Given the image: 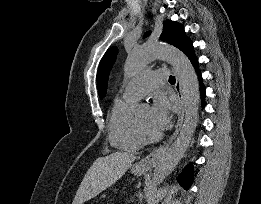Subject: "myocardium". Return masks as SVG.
Returning <instances> with one entry per match:
<instances>
[{"label":"myocardium","instance_id":"f54148a6","mask_svg":"<svg viewBox=\"0 0 261 204\" xmlns=\"http://www.w3.org/2000/svg\"><path fill=\"white\" fill-rule=\"evenodd\" d=\"M135 122L139 133L146 142H155L161 138L160 133L150 131L146 127H144L142 123L139 121L138 117L135 118Z\"/></svg>","mask_w":261,"mask_h":204}]
</instances>
